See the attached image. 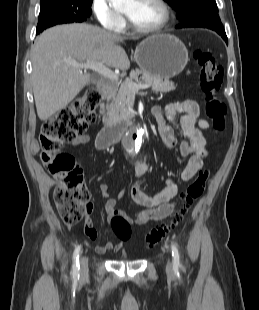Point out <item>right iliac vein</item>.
Returning <instances> with one entry per match:
<instances>
[{"mask_svg":"<svg viewBox=\"0 0 259 310\" xmlns=\"http://www.w3.org/2000/svg\"><path fill=\"white\" fill-rule=\"evenodd\" d=\"M87 277H88V260L85 256H83L80 262V278L86 279Z\"/></svg>","mask_w":259,"mask_h":310,"instance_id":"right-iliac-vein-1","label":"right iliac vein"}]
</instances>
